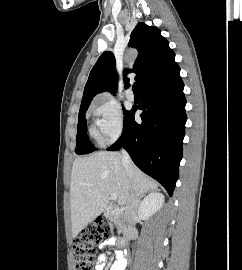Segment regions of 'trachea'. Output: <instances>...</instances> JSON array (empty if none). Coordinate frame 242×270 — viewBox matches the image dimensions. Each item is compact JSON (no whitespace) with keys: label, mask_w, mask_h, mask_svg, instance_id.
Here are the masks:
<instances>
[{"label":"trachea","mask_w":242,"mask_h":270,"mask_svg":"<svg viewBox=\"0 0 242 270\" xmlns=\"http://www.w3.org/2000/svg\"><path fill=\"white\" fill-rule=\"evenodd\" d=\"M133 91L137 93L140 92V87L137 82L133 84Z\"/></svg>","instance_id":"3493384b"}]
</instances>
